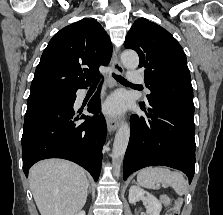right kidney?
I'll return each instance as SVG.
<instances>
[{"instance_id": "obj_1", "label": "right kidney", "mask_w": 223, "mask_h": 215, "mask_svg": "<svg viewBox=\"0 0 223 215\" xmlns=\"http://www.w3.org/2000/svg\"><path fill=\"white\" fill-rule=\"evenodd\" d=\"M75 215H86L85 211H78V213H75Z\"/></svg>"}]
</instances>
